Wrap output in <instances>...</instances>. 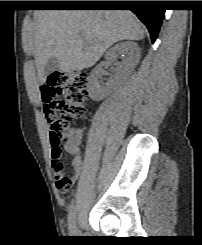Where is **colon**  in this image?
<instances>
[{"label": "colon", "mask_w": 202, "mask_h": 245, "mask_svg": "<svg viewBox=\"0 0 202 245\" xmlns=\"http://www.w3.org/2000/svg\"><path fill=\"white\" fill-rule=\"evenodd\" d=\"M88 79L87 74L77 71L54 72L48 78L47 83L55 88V94L58 97L55 109L60 111L57 116L45 108L52 148L58 149L63 141L64 132L72 128L75 120L84 116L88 96Z\"/></svg>", "instance_id": "colon-1"}]
</instances>
